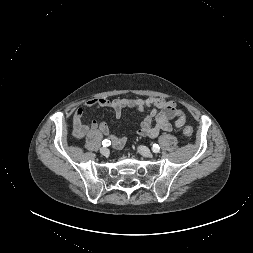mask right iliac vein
<instances>
[{"mask_svg":"<svg viewBox=\"0 0 253 253\" xmlns=\"http://www.w3.org/2000/svg\"><path fill=\"white\" fill-rule=\"evenodd\" d=\"M100 153L103 155V156H108L109 155V149L108 148H105V147H102L100 149Z\"/></svg>","mask_w":253,"mask_h":253,"instance_id":"right-iliac-vein-1","label":"right iliac vein"}]
</instances>
